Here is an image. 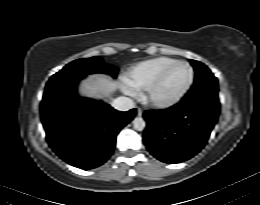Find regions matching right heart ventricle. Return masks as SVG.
<instances>
[{"label":"right heart ventricle","instance_id":"obj_1","mask_svg":"<svg viewBox=\"0 0 260 205\" xmlns=\"http://www.w3.org/2000/svg\"><path fill=\"white\" fill-rule=\"evenodd\" d=\"M175 61V58L160 56L140 62L127 73L125 83L133 90H143L161 70Z\"/></svg>","mask_w":260,"mask_h":205}]
</instances>
